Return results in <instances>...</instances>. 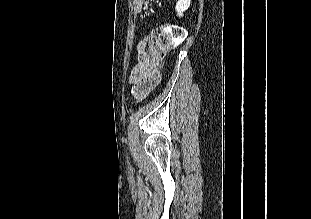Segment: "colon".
Masks as SVG:
<instances>
[{
	"mask_svg": "<svg viewBox=\"0 0 311 219\" xmlns=\"http://www.w3.org/2000/svg\"><path fill=\"white\" fill-rule=\"evenodd\" d=\"M184 38L185 30L175 24L164 25L159 32L143 37L138 46L140 64L137 70L159 76L157 64L169 49L180 44Z\"/></svg>",
	"mask_w": 311,
	"mask_h": 219,
	"instance_id": "colon-1",
	"label": "colon"
}]
</instances>
